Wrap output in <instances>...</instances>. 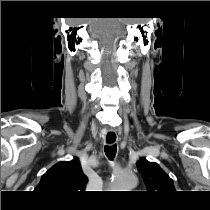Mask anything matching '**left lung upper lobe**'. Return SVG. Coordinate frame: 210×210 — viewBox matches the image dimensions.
<instances>
[{"instance_id": "1", "label": "left lung upper lobe", "mask_w": 210, "mask_h": 210, "mask_svg": "<svg viewBox=\"0 0 210 210\" xmlns=\"http://www.w3.org/2000/svg\"><path fill=\"white\" fill-rule=\"evenodd\" d=\"M136 166L144 179L148 192L165 194L175 191L172 179L157 163L141 160Z\"/></svg>"}]
</instances>
